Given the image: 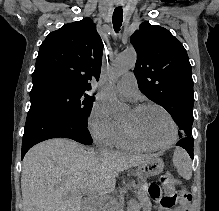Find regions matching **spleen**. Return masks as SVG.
I'll use <instances>...</instances> for the list:
<instances>
[{"label":"spleen","instance_id":"obj_1","mask_svg":"<svg viewBox=\"0 0 219 211\" xmlns=\"http://www.w3.org/2000/svg\"><path fill=\"white\" fill-rule=\"evenodd\" d=\"M173 165H175L178 173L185 177V179H191L192 177V161L185 149L182 147H176L173 153Z\"/></svg>","mask_w":219,"mask_h":211}]
</instances>
